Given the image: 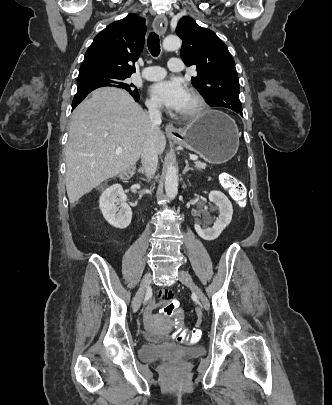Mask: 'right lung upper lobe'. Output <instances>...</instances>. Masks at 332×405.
<instances>
[{"instance_id":"1","label":"right lung upper lobe","mask_w":332,"mask_h":405,"mask_svg":"<svg viewBox=\"0 0 332 405\" xmlns=\"http://www.w3.org/2000/svg\"><path fill=\"white\" fill-rule=\"evenodd\" d=\"M145 33L144 20L133 13L111 23L89 46L79 75L94 72L131 75L143 50Z\"/></svg>"}]
</instances>
